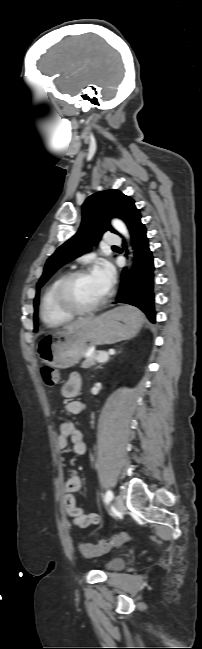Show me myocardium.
I'll use <instances>...</instances> for the list:
<instances>
[{
  "label": "myocardium",
  "mask_w": 202,
  "mask_h": 649,
  "mask_svg": "<svg viewBox=\"0 0 202 649\" xmlns=\"http://www.w3.org/2000/svg\"><path fill=\"white\" fill-rule=\"evenodd\" d=\"M88 273H89L88 268H80L74 270L68 273L67 275H65L57 286L56 299L59 305L63 310H65L66 312L72 315L90 314L96 311L97 309H99L100 307H102L106 303L109 297V293H105L102 299H100L98 302L88 307H80L74 303L70 294L71 287L77 278L86 275Z\"/></svg>",
  "instance_id": "myocardium-1"
}]
</instances>
